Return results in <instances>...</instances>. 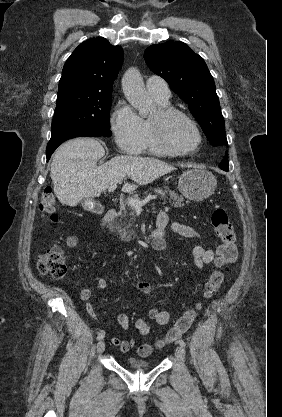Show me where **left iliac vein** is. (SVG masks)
Here are the masks:
<instances>
[{"label":"left iliac vein","instance_id":"4c4485c4","mask_svg":"<svg viewBox=\"0 0 282 417\" xmlns=\"http://www.w3.org/2000/svg\"><path fill=\"white\" fill-rule=\"evenodd\" d=\"M175 355L178 359L183 361L185 359V355H186L184 347L183 346H178L176 348Z\"/></svg>","mask_w":282,"mask_h":417}]
</instances>
